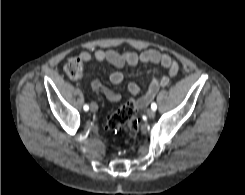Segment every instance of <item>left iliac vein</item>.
<instances>
[{"label": "left iliac vein", "mask_w": 245, "mask_h": 195, "mask_svg": "<svg viewBox=\"0 0 245 195\" xmlns=\"http://www.w3.org/2000/svg\"><path fill=\"white\" fill-rule=\"evenodd\" d=\"M147 115H148V117H150V118H154V116H155V111L152 110V109H149V110L147 111Z\"/></svg>", "instance_id": "left-iliac-vein-1"}]
</instances>
